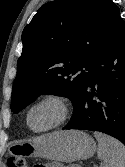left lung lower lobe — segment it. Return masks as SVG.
Returning <instances> with one entry per match:
<instances>
[{
  "instance_id": "1",
  "label": "left lung lower lobe",
  "mask_w": 125,
  "mask_h": 167,
  "mask_svg": "<svg viewBox=\"0 0 125 167\" xmlns=\"http://www.w3.org/2000/svg\"><path fill=\"white\" fill-rule=\"evenodd\" d=\"M73 107L64 129L103 132L125 145V24L120 15L101 42Z\"/></svg>"
}]
</instances>
